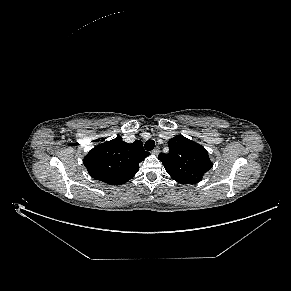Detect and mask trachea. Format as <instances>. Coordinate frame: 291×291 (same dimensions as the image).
Returning <instances> with one entry per match:
<instances>
[{"instance_id": "3493384b", "label": "trachea", "mask_w": 291, "mask_h": 291, "mask_svg": "<svg viewBox=\"0 0 291 291\" xmlns=\"http://www.w3.org/2000/svg\"><path fill=\"white\" fill-rule=\"evenodd\" d=\"M154 146H155V142L153 140H148L146 143H145V149L147 151H151L154 149Z\"/></svg>"}]
</instances>
